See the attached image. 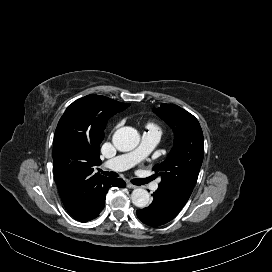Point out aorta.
Wrapping results in <instances>:
<instances>
[{
    "instance_id": "1",
    "label": "aorta",
    "mask_w": 272,
    "mask_h": 272,
    "mask_svg": "<svg viewBox=\"0 0 272 272\" xmlns=\"http://www.w3.org/2000/svg\"><path fill=\"white\" fill-rule=\"evenodd\" d=\"M112 141L117 150L127 152L133 150L138 145L140 136L136 129L122 127L114 133ZM131 200L136 207L144 208L150 201V195L147 190L137 188L133 190Z\"/></svg>"
}]
</instances>
